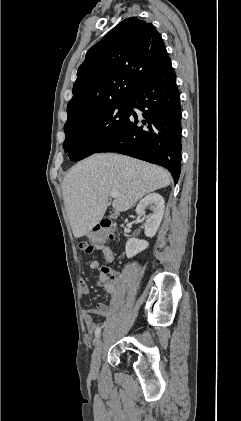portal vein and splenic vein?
<instances>
[{"label": "portal vein and splenic vein", "instance_id": "1", "mask_svg": "<svg viewBox=\"0 0 241 421\" xmlns=\"http://www.w3.org/2000/svg\"><path fill=\"white\" fill-rule=\"evenodd\" d=\"M110 196H111L112 198H116V197L118 196V192H116V191H112V192H110Z\"/></svg>", "mask_w": 241, "mask_h": 421}]
</instances>
